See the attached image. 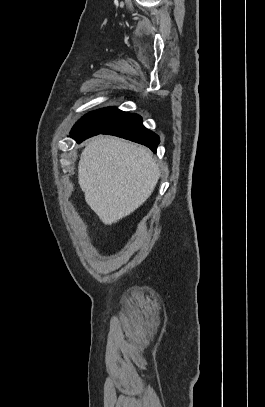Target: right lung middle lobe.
Returning a JSON list of instances; mask_svg holds the SVG:
<instances>
[{
  "instance_id": "1",
  "label": "right lung middle lobe",
  "mask_w": 265,
  "mask_h": 407,
  "mask_svg": "<svg viewBox=\"0 0 265 407\" xmlns=\"http://www.w3.org/2000/svg\"><path fill=\"white\" fill-rule=\"evenodd\" d=\"M129 114L114 107L90 112L75 124L70 135L76 138L97 135L123 120Z\"/></svg>"
}]
</instances>
